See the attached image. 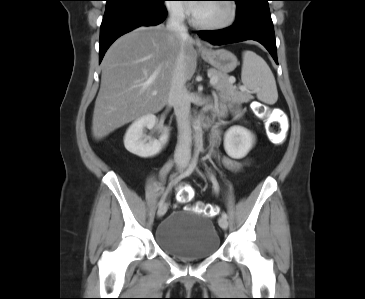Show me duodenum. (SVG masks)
<instances>
[{"label": "duodenum", "instance_id": "obj_1", "mask_svg": "<svg viewBox=\"0 0 365 299\" xmlns=\"http://www.w3.org/2000/svg\"><path fill=\"white\" fill-rule=\"evenodd\" d=\"M211 121H212L211 112L206 111L201 114L200 118L201 126L208 127L211 124Z\"/></svg>", "mask_w": 365, "mask_h": 299}]
</instances>
